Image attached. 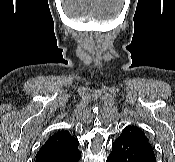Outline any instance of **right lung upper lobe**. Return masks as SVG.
Wrapping results in <instances>:
<instances>
[{"label":"right lung upper lobe","mask_w":175,"mask_h":162,"mask_svg":"<svg viewBox=\"0 0 175 162\" xmlns=\"http://www.w3.org/2000/svg\"><path fill=\"white\" fill-rule=\"evenodd\" d=\"M79 142L68 131H59L49 137L36 157L58 152H72L78 149Z\"/></svg>","instance_id":"right-lung-upper-lobe-1"}]
</instances>
